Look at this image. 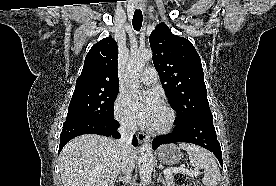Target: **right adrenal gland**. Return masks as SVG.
Here are the masks:
<instances>
[{"mask_svg":"<svg viewBox=\"0 0 276 186\" xmlns=\"http://www.w3.org/2000/svg\"><path fill=\"white\" fill-rule=\"evenodd\" d=\"M116 182H121L123 184H127L129 181V176H123V177H119L115 180Z\"/></svg>","mask_w":276,"mask_h":186,"instance_id":"2a0ac1e0","label":"right adrenal gland"}]
</instances>
